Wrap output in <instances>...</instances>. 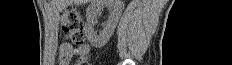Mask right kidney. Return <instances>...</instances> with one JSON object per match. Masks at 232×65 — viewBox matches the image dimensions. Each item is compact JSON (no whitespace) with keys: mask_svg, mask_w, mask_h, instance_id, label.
Instances as JSON below:
<instances>
[{"mask_svg":"<svg viewBox=\"0 0 232 65\" xmlns=\"http://www.w3.org/2000/svg\"><path fill=\"white\" fill-rule=\"evenodd\" d=\"M105 6L108 7L110 15L103 30L97 34L94 30V20ZM123 8L124 4L122 0L92 1L86 11V24L84 26V34L92 46L101 48L109 41L121 17Z\"/></svg>","mask_w":232,"mask_h":65,"instance_id":"obj_1","label":"right kidney"}]
</instances>
